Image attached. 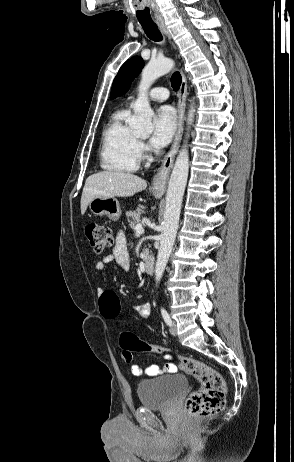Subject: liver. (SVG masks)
I'll use <instances>...</instances> for the list:
<instances>
[{
    "label": "liver",
    "instance_id": "1",
    "mask_svg": "<svg viewBox=\"0 0 294 462\" xmlns=\"http://www.w3.org/2000/svg\"><path fill=\"white\" fill-rule=\"evenodd\" d=\"M147 187V182L131 173L102 171L86 179L81 196V214L96 197H131Z\"/></svg>",
    "mask_w": 294,
    "mask_h": 462
}]
</instances>
